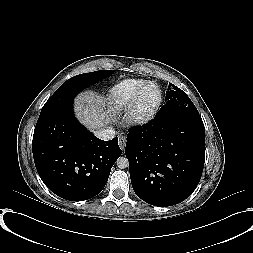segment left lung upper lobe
<instances>
[{
	"label": "left lung upper lobe",
	"mask_w": 253,
	"mask_h": 253,
	"mask_svg": "<svg viewBox=\"0 0 253 253\" xmlns=\"http://www.w3.org/2000/svg\"><path fill=\"white\" fill-rule=\"evenodd\" d=\"M165 100V105L161 107L154 118H163L169 115H199L187 94L172 83L169 84Z\"/></svg>",
	"instance_id": "5c2ea615"
}]
</instances>
